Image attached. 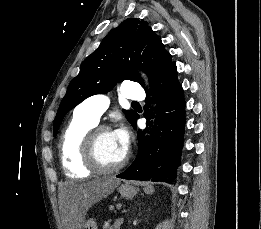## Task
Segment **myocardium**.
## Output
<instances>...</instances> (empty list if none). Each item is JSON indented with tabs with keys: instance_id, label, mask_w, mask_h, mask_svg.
I'll return each instance as SVG.
<instances>
[{
	"instance_id": "1",
	"label": "myocardium",
	"mask_w": 261,
	"mask_h": 229,
	"mask_svg": "<svg viewBox=\"0 0 261 229\" xmlns=\"http://www.w3.org/2000/svg\"><path fill=\"white\" fill-rule=\"evenodd\" d=\"M107 132H111V129L106 126H100L94 128L87 136L84 144V158L86 163L95 171L100 173H112L123 168L127 163V156L115 165L105 164L98 153V144L100 137Z\"/></svg>"
}]
</instances>
